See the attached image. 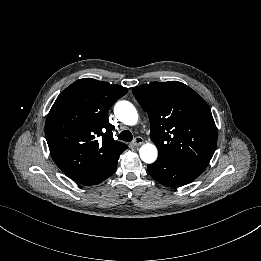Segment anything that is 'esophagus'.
<instances>
[{
  "instance_id": "1",
  "label": "esophagus",
  "mask_w": 261,
  "mask_h": 261,
  "mask_svg": "<svg viewBox=\"0 0 261 261\" xmlns=\"http://www.w3.org/2000/svg\"><path fill=\"white\" fill-rule=\"evenodd\" d=\"M143 143V140L141 137H137L132 141V145L137 146Z\"/></svg>"
}]
</instances>
